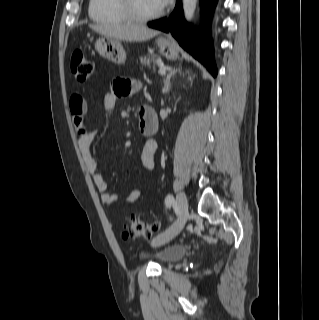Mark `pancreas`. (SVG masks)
<instances>
[{
	"mask_svg": "<svg viewBox=\"0 0 319 320\" xmlns=\"http://www.w3.org/2000/svg\"><path fill=\"white\" fill-rule=\"evenodd\" d=\"M140 63L142 66L150 68L153 65V68L156 65H160L161 62L158 60V56L155 54L147 55L140 58Z\"/></svg>",
	"mask_w": 319,
	"mask_h": 320,
	"instance_id": "1",
	"label": "pancreas"
}]
</instances>
